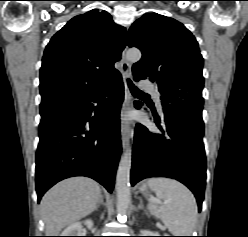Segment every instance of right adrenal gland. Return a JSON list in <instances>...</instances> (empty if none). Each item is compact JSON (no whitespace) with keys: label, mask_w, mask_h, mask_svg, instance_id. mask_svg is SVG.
Here are the masks:
<instances>
[{"label":"right adrenal gland","mask_w":248,"mask_h":237,"mask_svg":"<svg viewBox=\"0 0 248 237\" xmlns=\"http://www.w3.org/2000/svg\"><path fill=\"white\" fill-rule=\"evenodd\" d=\"M100 204H104L103 195L102 194L100 195V199H99V201L97 203V206H96L95 210H98Z\"/></svg>","instance_id":"1"}]
</instances>
